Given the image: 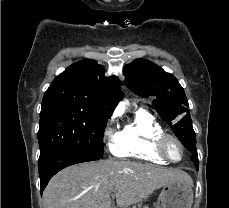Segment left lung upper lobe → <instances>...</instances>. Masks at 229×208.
<instances>
[{
  "instance_id": "1",
  "label": "left lung upper lobe",
  "mask_w": 229,
  "mask_h": 208,
  "mask_svg": "<svg viewBox=\"0 0 229 208\" xmlns=\"http://www.w3.org/2000/svg\"><path fill=\"white\" fill-rule=\"evenodd\" d=\"M124 74L126 86L135 94L156 97L153 107L182 144L196 141L184 89L173 75L145 59L125 66Z\"/></svg>"
}]
</instances>
